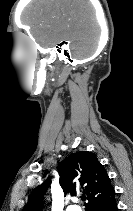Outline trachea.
I'll list each match as a JSON object with an SVG mask.
<instances>
[{
  "label": "trachea",
  "mask_w": 133,
  "mask_h": 211,
  "mask_svg": "<svg viewBox=\"0 0 133 211\" xmlns=\"http://www.w3.org/2000/svg\"><path fill=\"white\" fill-rule=\"evenodd\" d=\"M81 199L84 201L86 199V196H81Z\"/></svg>",
  "instance_id": "1"
}]
</instances>
